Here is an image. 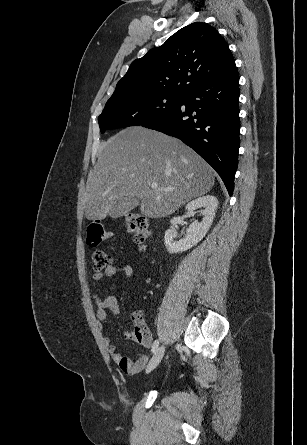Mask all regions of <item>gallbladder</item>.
Masks as SVG:
<instances>
[{
  "instance_id": "gallbladder-1",
  "label": "gallbladder",
  "mask_w": 307,
  "mask_h": 445,
  "mask_svg": "<svg viewBox=\"0 0 307 445\" xmlns=\"http://www.w3.org/2000/svg\"><path fill=\"white\" fill-rule=\"evenodd\" d=\"M140 200L137 196L124 195L120 202L115 205V211H112L110 216L112 218H125L127 212L137 210L140 207Z\"/></svg>"
}]
</instances>
